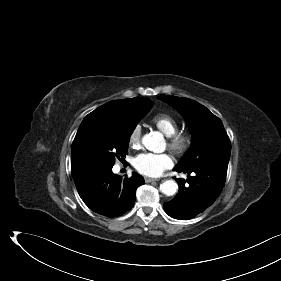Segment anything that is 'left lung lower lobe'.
I'll use <instances>...</instances> for the list:
<instances>
[{
  "label": "left lung lower lobe",
  "mask_w": 281,
  "mask_h": 281,
  "mask_svg": "<svg viewBox=\"0 0 281 281\" xmlns=\"http://www.w3.org/2000/svg\"><path fill=\"white\" fill-rule=\"evenodd\" d=\"M227 167L216 164H204L190 169L175 167L174 171L189 175L186 180L189 185L185 186V180L181 182L177 179L179 193L173 200L164 203L165 212L180 220H189L204 212L220 195L225 184Z\"/></svg>",
  "instance_id": "left-lung-lower-lobe-1"
}]
</instances>
